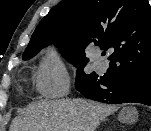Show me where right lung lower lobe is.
<instances>
[{"mask_svg":"<svg viewBox=\"0 0 151 131\" xmlns=\"http://www.w3.org/2000/svg\"><path fill=\"white\" fill-rule=\"evenodd\" d=\"M75 87L86 98L99 102L151 105V71L140 74H105L100 77L77 76Z\"/></svg>","mask_w":151,"mask_h":131,"instance_id":"right-lung-lower-lobe-1","label":"right lung lower lobe"}]
</instances>
